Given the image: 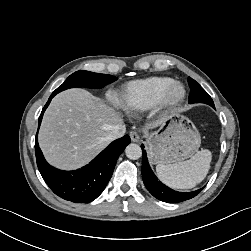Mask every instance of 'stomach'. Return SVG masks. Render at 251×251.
I'll use <instances>...</instances> for the list:
<instances>
[{
    "label": "stomach",
    "mask_w": 251,
    "mask_h": 251,
    "mask_svg": "<svg viewBox=\"0 0 251 251\" xmlns=\"http://www.w3.org/2000/svg\"><path fill=\"white\" fill-rule=\"evenodd\" d=\"M149 155L154 164H174L192 157L201 144L200 134L183 115L165 118L157 131L147 133Z\"/></svg>",
    "instance_id": "stomach-1"
}]
</instances>
